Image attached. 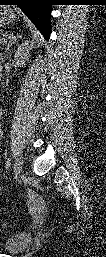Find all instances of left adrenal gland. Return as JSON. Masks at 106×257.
<instances>
[{
	"mask_svg": "<svg viewBox=\"0 0 106 257\" xmlns=\"http://www.w3.org/2000/svg\"><path fill=\"white\" fill-rule=\"evenodd\" d=\"M21 37L20 35H14V33H10L9 37H8V43L5 47V58L7 57V53L9 51V48L16 43V41L18 40V38Z\"/></svg>",
	"mask_w": 106,
	"mask_h": 257,
	"instance_id": "left-adrenal-gland-1",
	"label": "left adrenal gland"
}]
</instances>
